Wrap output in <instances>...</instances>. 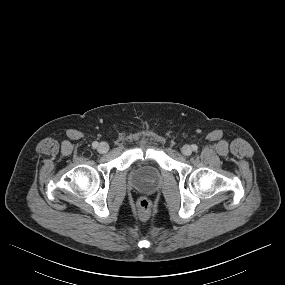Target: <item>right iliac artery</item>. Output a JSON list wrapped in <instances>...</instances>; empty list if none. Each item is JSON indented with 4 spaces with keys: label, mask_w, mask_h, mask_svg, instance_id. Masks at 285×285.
Instances as JSON below:
<instances>
[{
    "label": "right iliac artery",
    "mask_w": 285,
    "mask_h": 285,
    "mask_svg": "<svg viewBox=\"0 0 285 285\" xmlns=\"http://www.w3.org/2000/svg\"><path fill=\"white\" fill-rule=\"evenodd\" d=\"M92 146H93V148H97V147H98V142H96V141L93 142V143H92Z\"/></svg>",
    "instance_id": "obj_1"
}]
</instances>
